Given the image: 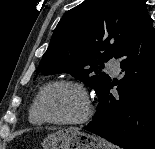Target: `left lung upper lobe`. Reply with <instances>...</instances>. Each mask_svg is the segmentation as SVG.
<instances>
[{
  "label": "left lung upper lobe",
  "mask_w": 155,
  "mask_h": 149,
  "mask_svg": "<svg viewBox=\"0 0 155 149\" xmlns=\"http://www.w3.org/2000/svg\"><path fill=\"white\" fill-rule=\"evenodd\" d=\"M146 0H85L66 12L36 70L69 73L99 93L110 81L101 71L149 16Z\"/></svg>",
  "instance_id": "obj_1"
}]
</instances>
